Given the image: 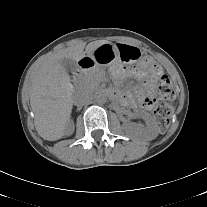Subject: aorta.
Returning <instances> with one entry per match:
<instances>
[{
    "instance_id": "obj_1",
    "label": "aorta",
    "mask_w": 207,
    "mask_h": 207,
    "mask_svg": "<svg viewBox=\"0 0 207 207\" xmlns=\"http://www.w3.org/2000/svg\"><path fill=\"white\" fill-rule=\"evenodd\" d=\"M98 104H105L107 102V95L103 92H100L95 97Z\"/></svg>"
}]
</instances>
